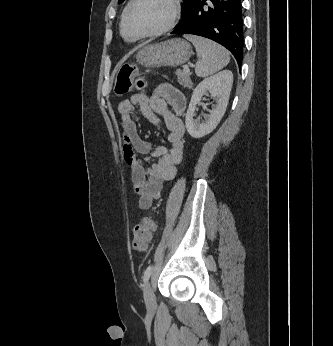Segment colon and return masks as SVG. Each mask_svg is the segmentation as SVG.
Wrapping results in <instances>:
<instances>
[{
	"instance_id": "1",
	"label": "colon",
	"mask_w": 333,
	"mask_h": 346,
	"mask_svg": "<svg viewBox=\"0 0 333 346\" xmlns=\"http://www.w3.org/2000/svg\"><path fill=\"white\" fill-rule=\"evenodd\" d=\"M135 81L137 87H144V81L137 79V67L133 64H124L120 67L116 76L115 94L117 96L128 94L132 90ZM155 229L156 224L150 218H145L140 224L136 225L133 230V248L138 251H144Z\"/></svg>"
}]
</instances>
